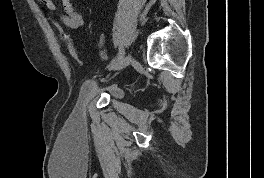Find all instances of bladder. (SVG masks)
<instances>
[{"label": "bladder", "instance_id": "31cf9c89", "mask_svg": "<svg viewBox=\"0 0 264 178\" xmlns=\"http://www.w3.org/2000/svg\"><path fill=\"white\" fill-rule=\"evenodd\" d=\"M100 94H105L114 99H121L123 97V90L118 85L102 82L94 78H89L83 82L81 87V96L83 98Z\"/></svg>", "mask_w": 264, "mask_h": 178}]
</instances>
